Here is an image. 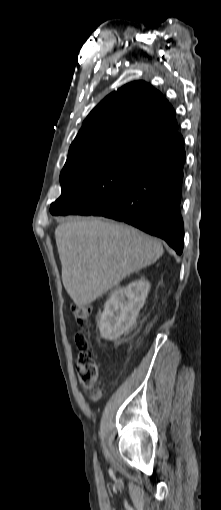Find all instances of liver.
<instances>
[{
    "label": "liver",
    "mask_w": 221,
    "mask_h": 510,
    "mask_svg": "<svg viewBox=\"0 0 221 510\" xmlns=\"http://www.w3.org/2000/svg\"><path fill=\"white\" fill-rule=\"evenodd\" d=\"M55 239L64 288L78 307L91 304L163 254L157 239L99 218L69 219L57 226Z\"/></svg>",
    "instance_id": "6515ba94"
}]
</instances>
